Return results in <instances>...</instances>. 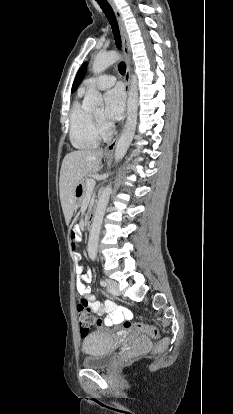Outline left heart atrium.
Instances as JSON below:
<instances>
[{
  "label": "left heart atrium",
  "mask_w": 233,
  "mask_h": 414,
  "mask_svg": "<svg viewBox=\"0 0 233 414\" xmlns=\"http://www.w3.org/2000/svg\"><path fill=\"white\" fill-rule=\"evenodd\" d=\"M104 120L113 123L119 120L125 109V93L121 87L108 90L105 94Z\"/></svg>",
  "instance_id": "obj_1"
}]
</instances>
